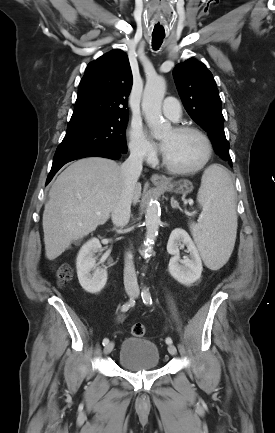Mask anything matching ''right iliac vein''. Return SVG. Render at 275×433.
Listing matches in <instances>:
<instances>
[{
  "label": "right iliac vein",
  "instance_id": "63e3f726",
  "mask_svg": "<svg viewBox=\"0 0 275 433\" xmlns=\"http://www.w3.org/2000/svg\"><path fill=\"white\" fill-rule=\"evenodd\" d=\"M113 348H114V343H113V342H109V343L104 347V350H103L104 354H105V355H108L109 353H111V351L113 350Z\"/></svg>",
  "mask_w": 275,
  "mask_h": 433
}]
</instances>
